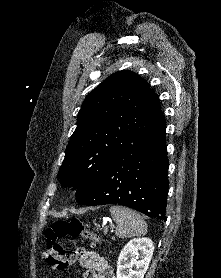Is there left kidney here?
<instances>
[{"mask_svg": "<svg viewBox=\"0 0 221 278\" xmlns=\"http://www.w3.org/2000/svg\"><path fill=\"white\" fill-rule=\"evenodd\" d=\"M153 252L154 245L151 239L144 237L130 240L120 252L117 261V278H143Z\"/></svg>", "mask_w": 221, "mask_h": 278, "instance_id": "1", "label": "left kidney"}]
</instances>
